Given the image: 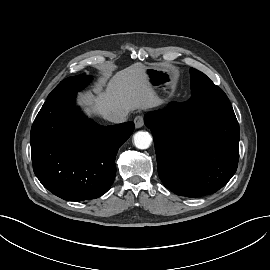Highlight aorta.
I'll return each instance as SVG.
<instances>
[{"label": "aorta", "mask_w": 270, "mask_h": 270, "mask_svg": "<svg viewBox=\"0 0 270 270\" xmlns=\"http://www.w3.org/2000/svg\"><path fill=\"white\" fill-rule=\"evenodd\" d=\"M134 145L138 149H147L151 145L152 137L146 131H138L135 133L134 137Z\"/></svg>", "instance_id": "1"}]
</instances>
